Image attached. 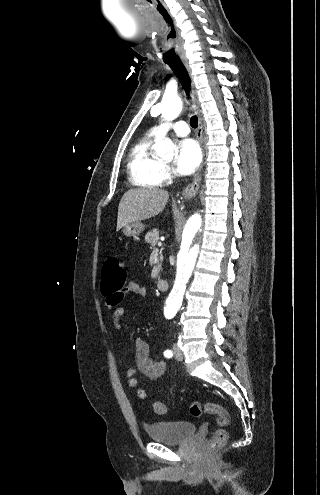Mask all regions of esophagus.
Instances as JSON below:
<instances>
[{
  "label": "esophagus",
  "instance_id": "1",
  "mask_svg": "<svg viewBox=\"0 0 320 495\" xmlns=\"http://www.w3.org/2000/svg\"><path fill=\"white\" fill-rule=\"evenodd\" d=\"M182 62L184 64V66L186 67L188 74L192 80V88H191L192 106H193V110H194L195 114L198 117V127H197V131H196V135H197L198 141L201 145L202 151L204 153L203 121H202L201 110H200L199 102H198V98H197V93H196V89H195V85L193 82V78H192L191 69L189 67V64H188L187 60H185V59H183ZM200 183H201V173L199 171L195 175L193 181L183 189V192H182L183 197L184 198L194 197L198 192V189L200 187Z\"/></svg>",
  "mask_w": 320,
  "mask_h": 495
}]
</instances>
